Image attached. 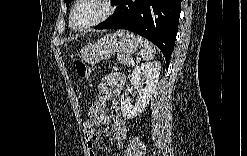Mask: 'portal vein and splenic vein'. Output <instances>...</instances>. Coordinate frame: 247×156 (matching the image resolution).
<instances>
[{
	"label": "portal vein and splenic vein",
	"mask_w": 247,
	"mask_h": 156,
	"mask_svg": "<svg viewBox=\"0 0 247 156\" xmlns=\"http://www.w3.org/2000/svg\"><path fill=\"white\" fill-rule=\"evenodd\" d=\"M129 64H132V65L134 64L133 59H130V60H129Z\"/></svg>",
	"instance_id": "portal-vein-and-splenic-vein-1"
}]
</instances>
